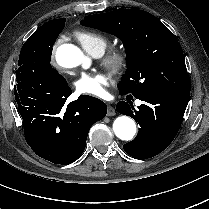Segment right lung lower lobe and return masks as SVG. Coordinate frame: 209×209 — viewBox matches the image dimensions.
I'll return each mask as SVG.
<instances>
[{"label":"right lung lower lobe","mask_w":209,"mask_h":209,"mask_svg":"<svg viewBox=\"0 0 209 209\" xmlns=\"http://www.w3.org/2000/svg\"><path fill=\"white\" fill-rule=\"evenodd\" d=\"M16 79L15 100L28 145L55 164L67 165L79 158L91 126L106 116V104L81 95L66 105L72 93L67 82L35 72Z\"/></svg>","instance_id":"98d812e1"}]
</instances>
